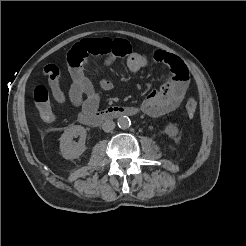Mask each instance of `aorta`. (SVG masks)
<instances>
[{
    "label": "aorta",
    "instance_id": "762f6f07",
    "mask_svg": "<svg viewBox=\"0 0 246 246\" xmlns=\"http://www.w3.org/2000/svg\"><path fill=\"white\" fill-rule=\"evenodd\" d=\"M117 124H118V127L120 129L125 130V129H128L130 127L131 121H130L129 117L121 116V117L118 118Z\"/></svg>",
    "mask_w": 246,
    "mask_h": 246
}]
</instances>
